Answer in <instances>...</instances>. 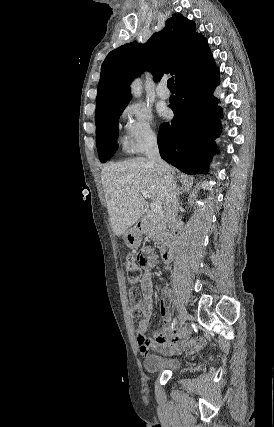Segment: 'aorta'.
<instances>
[{"instance_id": "aorta-1", "label": "aorta", "mask_w": 274, "mask_h": 427, "mask_svg": "<svg viewBox=\"0 0 274 427\" xmlns=\"http://www.w3.org/2000/svg\"><path fill=\"white\" fill-rule=\"evenodd\" d=\"M141 92H142L141 81H140V79H136L131 84V93L135 97H139L141 95Z\"/></svg>"}]
</instances>
